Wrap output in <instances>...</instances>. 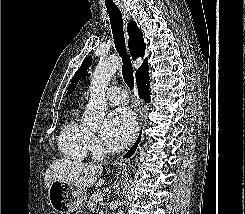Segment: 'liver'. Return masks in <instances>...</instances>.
<instances>
[{
    "instance_id": "liver-1",
    "label": "liver",
    "mask_w": 245,
    "mask_h": 214,
    "mask_svg": "<svg viewBox=\"0 0 245 214\" xmlns=\"http://www.w3.org/2000/svg\"><path fill=\"white\" fill-rule=\"evenodd\" d=\"M102 170V165L86 164L71 159H60L52 163L47 169L44 177L45 187L49 189L54 180L84 189L94 184L101 186L104 184V180H98V177Z\"/></svg>"
}]
</instances>
